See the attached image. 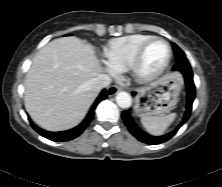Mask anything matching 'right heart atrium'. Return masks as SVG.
<instances>
[{
    "instance_id": "d8ad5b80",
    "label": "right heart atrium",
    "mask_w": 222,
    "mask_h": 187,
    "mask_svg": "<svg viewBox=\"0 0 222 187\" xmlns=\"http://www.w3.org/2000/svg\"><path fill=\"white\" fill-rule=\"evenodd\" d=\"M105 68H106V70H107V72L109 73V74H111V75H114L115 74V69L111 66V65H109V64H106L105 65Z\"/></svg>"
}]
</instances>
